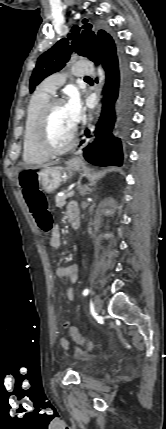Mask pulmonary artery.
<instances>
[{
    "mask_svg": "<svg viewBox=\"0 0 166 429\" xmlns=\"http://www.w3.org/2000/svg\"><path fill=\"white\" fill-rule=\"evenodd\" d=\"M71 72L77 77H84L91 75L93 69L88 62H77L71 67ZM63 80L64 78L62 74H55L42 85V89L53 94L62 84Z\"/></svg>",
    "mask_w": 166,
    "mask_h": 429,
    "instance_id": "1",
    "label": "pulmonary artery"
}]
</instances>
